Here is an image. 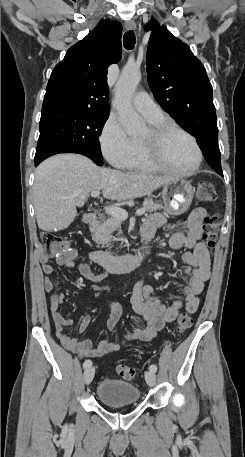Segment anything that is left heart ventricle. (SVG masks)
<instances>
[{
	"label": "left heart ventricle",
	"mask_w": 245,
	"mask_h": 457,
	"mask_svg": "<svg viewBox=\"0 0 245 457\" xmlns=\"http://www.w3.org/2000/svg\"><path fill=\"white\" fill-rule=\"evenodd\" d=\"M139 140L146 144L151 158L164 166L177 170H189L195 164L196 155L191 146L192 143L180 132L170 133L163 143L158 144L149 129Z\"/></svg>",
	"instance_id": "left-heart-ventricle-1"
}]
</instances>
